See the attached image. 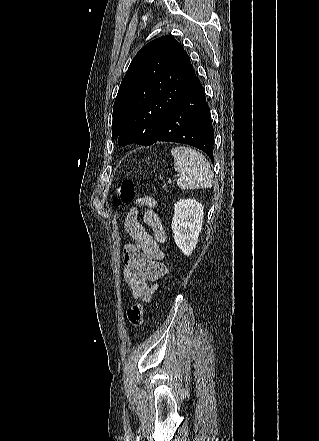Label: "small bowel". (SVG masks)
<instances>
[{
  "label": "small bowel",
  "mask_w": 319,
  "mask_h": 441,
  "mask_svg": "<svg viewBox=\"0 0 319 441\" xmlns=\"http://www.w3.org/2000/svg\"><path fill=\"white\" fill-rule=\"evenodd\" d=\"M157 202L150 196L141 199V203L131 208L124 221L131 242L124 248L123 277L134 299L149 302L156 288L155 283L166 273L162 263L165 257L161 244L166 241L162 223L154 211ZM145 207L142 221L153 232L149 234L139 220V209Z\"/></svg>",
  "instance_id": "c3829d8e"
}]
</instances>
